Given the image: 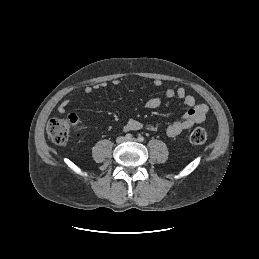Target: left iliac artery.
Listing matches in <instances>:
<instances>
[{
    "mask_svg": "<svg viewBox=\"0 0 259 259\" xmlns=\"http://www.w3.org/2000/svg\"><path fill=\"white\" fill-rule=\"evenodd\" d=\"M138 141H140V142H143L144 141V137L143 136H138Z\"/></svg>",
    "mask_w": 259,
    "mask_h": 259,
    "instance_id": "left-iliac-artery-1",
    "label": "left iliac artery"
}]
</instances>
